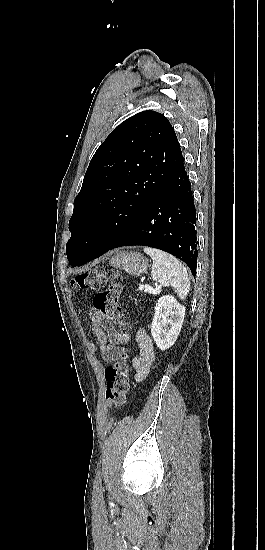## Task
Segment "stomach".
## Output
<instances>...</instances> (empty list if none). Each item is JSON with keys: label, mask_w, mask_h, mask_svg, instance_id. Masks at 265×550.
Listing matches in <instances>:
<instances>
[{"label": "stomach", "mask_w": 265, "mask_h": 550, "mask_svg": "<svg viewBox=\"0 0 265 550\" xmlns=\"http://www.w3.org/2000/svg\"><path fill=\"white\" fill-rule=\"evenodd\" d=\"M111 265L126 273L139 277L147 272L148 260L140 253L120 251L110 261Z\"/></svg>", "instance_id": "obj_1"}]
</instances>
